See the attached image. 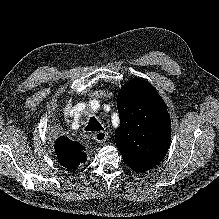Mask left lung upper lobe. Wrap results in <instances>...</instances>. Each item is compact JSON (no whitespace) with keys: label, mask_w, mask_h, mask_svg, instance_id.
I'll list each match as a JSON object with an SVG mask.
<instances>
[{"label":"left lung upper lobe","mask_w":219,"mask_h":219,"mask_svg":"<svg viewBox=\"0 0 219 219\" xmlns=\"http://www.w3.org/2000/svg\"><path fill=\"white\" fill-rule=\"evenodd\" d=\"M120 125L115 141L122 158L136 172H145L165 157L171 125L166 105L147 82L133 80L119 92Z\"/></svg>","instance_id":"5c2ea615"}]
</instances>
